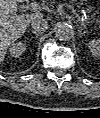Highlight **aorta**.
I'll use <instances>...</instances> for the list:
<instances>
[{"instance_id": "aorta-1", "label": "aorta", "mask_w": 100, "mask_h": 118, "mask_svg": "<svg viewBox=\"0 0 100 118\" xmlns=\"http://www.w3.org/2000/svg\"><path fill=\"white\" fill-rule=\"evenodd\" d=\"M56 37L61 41L69 40L73 34V29L66 23H61L56 27Z\"/></svg>"}]
</instances>
